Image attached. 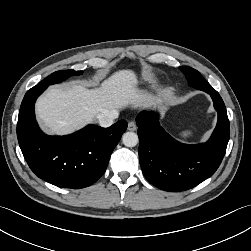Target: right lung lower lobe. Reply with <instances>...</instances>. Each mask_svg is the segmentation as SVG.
I'll return each instance as SVG.
<instances>
[{
  "mask_svg": "<svg viewBox=\"0 0 251 251\" xmlns=\"http://www.w3.org/2000/svg\"><path fill=\"white\" fill-rule=\"evenodd\" d=\"M47 87L36 85L23 98L17 123L23 156L35 175L53 185L88 187L104 174L127 122L120 120L108 128L88 125L70 135L48 136L38 127L34 113L35 101Z\"/></svg>",
  "mask_w": 251,
  "mask_h": 251,
  "instance_id": "right-lung-lower-lobe-1",
  "label": "right lung lower lobe"
}]
</instances>
